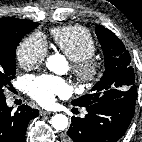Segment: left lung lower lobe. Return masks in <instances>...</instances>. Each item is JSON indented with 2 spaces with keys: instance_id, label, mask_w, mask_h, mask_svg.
<instances>
[{
  "instance_id": "0a47b994",
  "label": "left lung lower lobe",
  "mask_w": 142,
  "mask_h": 142,
  "mask_svg": "<svg viewBox=\"0 0 142 142\" xmlns=\"http://www.w3.org/2000/svg\"><path fill=\"white\" fill-rule=\"evenodd\" d=\"M134 97H124L86 106L85 118L72 117L63 142H116L126 132L134 111Z\"/></svg>"
}]
</instances>
